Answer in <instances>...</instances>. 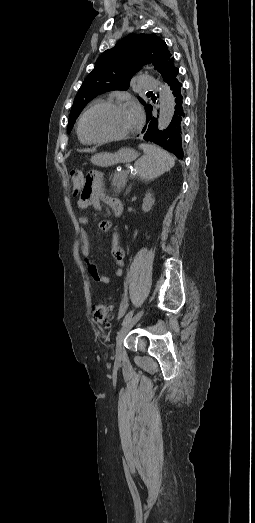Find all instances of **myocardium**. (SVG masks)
<instances>
[{
	"label": "myocardium",
	"instance_id": "1",
	"mask_svg": "<svg viewBox=\"0 0 255 523\" xmlns=\"http://www.w3.org/2000/svg\"><path fill=\"white\" fill-rule=\"evenodd\" d=\"M121 105H132V106H135L134 103L131 102V101H123V100L113 101V100H109V101L97 102V103L91 105L90 107H88L82 113V115L80 116L79 122H78V133H79V136L81 137V139L86 141V142H88V143L103 144V143L121 141V140L128 139V138H130L132 136H135L139 132V130H140V127H141V124H142V117H138V122H137L135 128L132 131H130L128 133H125V134H122V135H119V136H114V137H109V138H102V139H94V138H87L84 135V132H83V122H84L85 117L87 116V114L90 111H92L93 109H95L97 107H101V106H121Z\"/></svg>",
	"mask_w": 255,
	"mask_h": 523
}]
</instances>
